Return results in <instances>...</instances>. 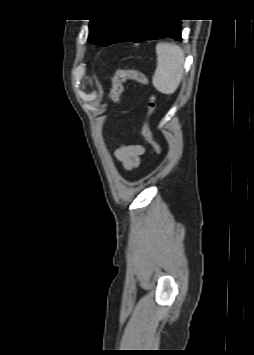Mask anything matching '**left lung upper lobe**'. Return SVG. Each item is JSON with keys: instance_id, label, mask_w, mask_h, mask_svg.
I'll return each instance as SVG.
<instances>
[{"instance_id": "1", "label": "left lung upper lobe", "mask_w": 254, "mask_h": 355, "mask_svg": "<svg viewBox=\"0 0 254 355\" xmlns=\"http://www.w3.org/2000/svg\"><path fill=\"white\" fill-rule=\"evenodd\" d=\"M130 19L90 20L88 42L104 46L113 44L121 36Z\"/></svg>"}]
</instances>
